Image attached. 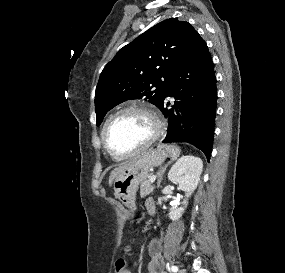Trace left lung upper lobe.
I'll list each match as a JSON object with an SVG mask.
<instances>
[{"instance_id": "obj_1", "label": "left lung upper lobe", "mask_w": 285, "mask_h": 273, "mask_svg": "<svg viewBox=\"0 0 285 273\" xmlns=\"http://www.w3.org/2000/svg\"><path fill=\"white\" fill-rule=\"evenodd\" d=\"M194 31L190 23L171 18L120 49L96 87L97 126L110 109L126 100L144 98L159 108Z\"/></svg>"}]
</instances>
